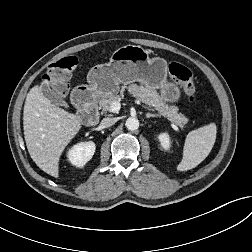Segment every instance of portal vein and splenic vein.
Segmentation results:
<instances>
[{"label":"portal vein and splenic vein","instance_id":"portal-vein-and-splenic-vein-1","mask_svg":"<svg viewBox=\"0 0 252 252\" xmlns=\"http://www.w3.org/2000/svg\"><path fill=\"white\" fill-rule=\"evenodd\" d=\"M137 103H138V101H136ZM144 108H146V109H148V110H151L149 107H146V106H144V105H142ZM120 108H121V104H120V102H113L112 104H111V106H110V112H112V113H118L119 112V110H120Z\"/></svg>","mask_w":252,"mask_h":252}]
</instances>
